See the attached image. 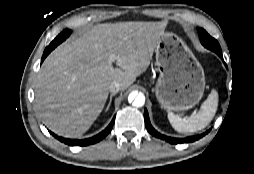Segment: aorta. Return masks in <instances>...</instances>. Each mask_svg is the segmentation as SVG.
I'll return each mask as SVG.
<instances>
[{"label": "aorta", "mask_w": 254, "mask_h": 174, "mask_svg": "<svg viewBox=\"0 0 254 174\" xmlns=\"http://www.w3.org/2000/svg\"><path fill=\"white\" fill-rule=\"evenodd\" d=\"M128 101L132 103L134 107H142L145 103V96L142 93L132 92L128 97Z\"/></svg>", "instance_id": "aorta-1"}]
</instances>
